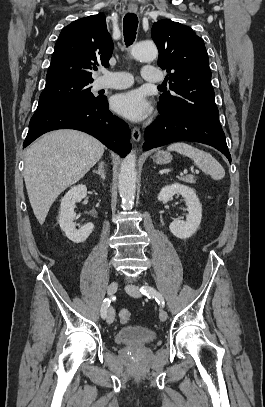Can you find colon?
I'll use <instances>...</instances> for the list:
<instances>
[{"instance_id": "5ec220e1", "label": "colon", "mask_w": 265, "mask_h": 407, "mask_svg": "<svg viewBox=\"0 0 265 407\" xmlns=\"http://www.w3.org/2000/svg\"><path fill=\"white\" fill-rule=\"evenodd\" d=\"M131 312L130 311H128V310H122V311H120V313H119V319H120V322L122 323V324H126V323H128L129 321H130V319H131Z\"/></svg>"}]
</instances>
